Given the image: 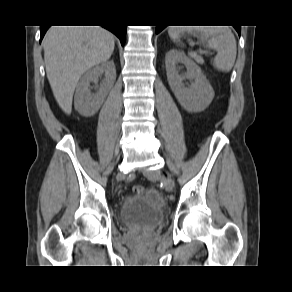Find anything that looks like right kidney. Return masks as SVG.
<instances>
[{"instance_id": "right-kidney-1", "label": "right kidney", "mask_w": 292, "mask_h": 292, "mask_svg": "<svg viewBox=\"0 0 292 292\" xmlns=\"http://www.w3.org/2000/svg\"><path fill=\"white\" fill-rule=\"evenodd\" d=\"M104 79L95 94L90 92V83H96L100 75ZM116 80V69L113 61H105L89 69L80 79L74 97L75 109L83 116H93L103 104L108 92Z\"/></svg>"}]
</instances>
